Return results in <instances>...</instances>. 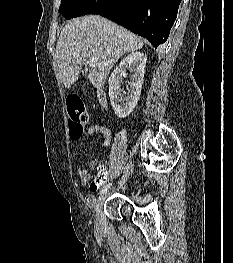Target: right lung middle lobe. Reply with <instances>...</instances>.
I'll use <instances>...</instances> for the list:
<instances>
[{
    "label": "right lung middle lobe",
    "instance_id": "obj_1",
    "mask_svg": "<svg viewBox=\"0 0 233 263\" xmlns=\"http://www.w3.org/2000/svg\"><path fill=\"white\" fill-rule=\"evenodd\" d=\"M109 1L114 2L118 0H61L59 11L66 19H71L90 14L93 9Z\"/></svg>",
    "mask_w": 233,
    "mask_h": 263
}]
</instances>
